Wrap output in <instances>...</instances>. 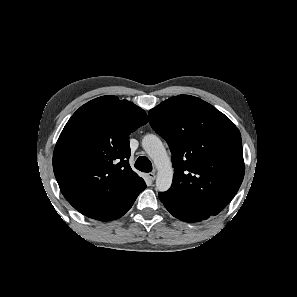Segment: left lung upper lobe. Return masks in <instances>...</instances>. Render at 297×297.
I'll return each mask as SVG.
<instances>
[{"instance_id": "left-lung-upper-lobe-1", "label": "left lung upper lobe", "mask_w": 297, "mask_h": 297, "mask_svg": "<svg viewBox=\"0 0 297 297\" xmlns=\"http://www.w3.org/2000/svg\"><path fill=\"white\" fill-rule=\"evenodd\" d=\"M150 125L172 153L173 182L164 192L203 220L217 215L237 193L245 172L241 135L211 104L190 95L149 111Z\"/></svg>"}]
</instances>
